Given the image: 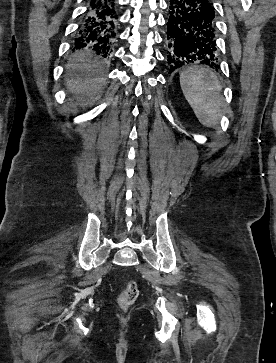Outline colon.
Here are the masks:
<instances>
[{"label": "colon", "instance_id": "1", "mask_svg": "<svg viewBox=\"0 0 276 363\" xmlns=\"http://www.w3.org/2000/svg\"><path fill=\"white\" fill-rule=\"evenodd\" d=\"M139 294L138 285L134 280H128L119 296V306L122 309H128Z\"/></svg>", "mask_w": 276, "mask_h": 363}]
</instances>
